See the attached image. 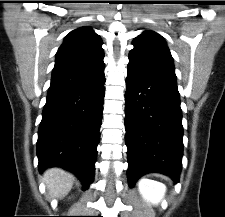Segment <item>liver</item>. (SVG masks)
<instances>
[{
  "mask_svg": "<svg viewBox=\"0 0 225 217\" xmlns=\"http://www.w3.org/2000/svg\"><path fill=\"white\" fill-rule=\"evenodd\" d=\"M43 181L50 195L61 199L71 190L74 176L61 168H50L44 172Z\"/></svg>",
  "mask_w": 225,
  "mask_h": 217,
  "instance_id": "liver-1",
  "label": "liver"
}]
</instances>
